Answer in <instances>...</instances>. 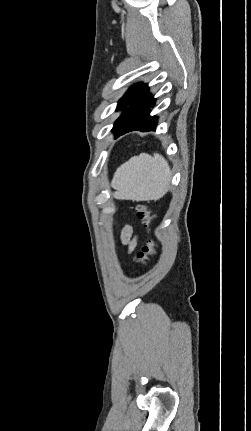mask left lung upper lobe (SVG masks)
Listing matches in <instances>:
<instances>
[{
	"label": "left lung upper lobe",
	"instance_id": "obj_1",
	"mask_svg": "<svg viewBox=\"0 0 251 431\" xmlns=\"http://www.w3.org/2000/svg\"><path fill=\"white\" fill-rule=\"evenodd\" d=\"M143 84H136L134 86H132L127 92L126 94L120 99L118 106H117V110H123V113L121 114V116L117 119V121L114 123V127L113 130L119 125V123L121 122L123 116L125 115L126 111L128 110L127 106H130L133 102V100L135 99V97L138 95L139 91L141 90Z\"/></svg>",
	"mask_w": 251,
	"mask_h": 431
}]
</instances>
